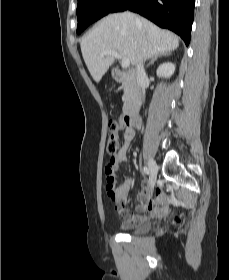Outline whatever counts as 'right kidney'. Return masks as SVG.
<instances>
[{
	"label": "right kidney",
	"mask_w": 229,
	"mask_h": 280,
	"mask_svg": "<svg viewBox=\"0 0 229 280\" xmlns=\"http://www.w3.org/2000/svg\"><path fill=\"white\" fill-rule=\"evenodd\" d=\"M175 71V65L173 63L167 62L161 64L157 69L158 77H170Z\"/></svg>",
	"instance_id": "obj_1"
}]
</instances>
